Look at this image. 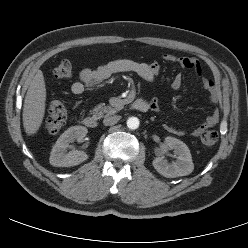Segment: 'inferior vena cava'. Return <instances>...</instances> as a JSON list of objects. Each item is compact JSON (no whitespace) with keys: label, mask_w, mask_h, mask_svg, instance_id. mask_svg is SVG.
<instances>
[{"label":"inferior vena cava","mask_w":248,"mask_h":248,"mask_svg":"<svg viewBox=\"0 0 248 248\" xmlns=\"http://www.w3.org/2000/svg\"><path fill=\"white\" fill-rule=\"evenodd\" d=\"M121 119L119 115L107 116L103 120L105 126H110L116 124Z\"/></svg>","instance_id":"obj_1"}]
</instances>
